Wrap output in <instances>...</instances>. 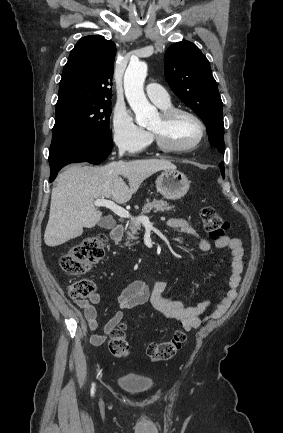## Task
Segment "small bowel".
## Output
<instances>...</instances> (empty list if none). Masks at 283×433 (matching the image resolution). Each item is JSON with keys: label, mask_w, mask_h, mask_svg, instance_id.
<instances>
[{"label": "small bowel", "mask_w": 283, "mask_h": 433, "mask_svg": "<svg viewBox=\"0 0 283 433\" xmlns=\"http://www.w3.org/2000/svg\"><path fill=\"white\" fill-rule=\"evenodd\" d=\"M168 226L179 233L193 237L201 251H209L211 243L201 236L192 225L182 218H170ZM218 249H229L232 255V270L229 276V289L224 298L216 305L213 313L202 318L201 316L210 307L211 302L202 301L194 306H188L181 300H170L164 297L168 288L166 280L155 282L149 286L142 280H134L123 288L117 295V309L113 316L106 322L100 333L91 336V343L95 346L102 345L111 332L120 324L124 317V311L149 303L156 311L167 319L181 322L186 331L199 328L208 319H217L224 315L238 294V287L241 282L244 261V248L239 238L224 236L215 241ZM101 296L93 292L87 299H75V304L82 311L76 315L81 325H87L91 331L99 327L97 311L95 306L99 304Z\"/></svg>", "instance_id": "small-bowel-1"}]
</instances>
